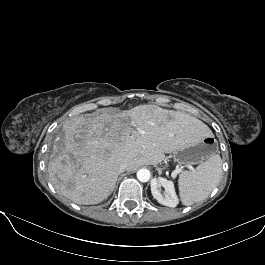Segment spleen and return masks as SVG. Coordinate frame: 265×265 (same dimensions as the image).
<instances>
[{
  "label": "spleen",
  "mask_w": 265,
  "mask_h": 265,
  "mask_svg": "<svg viewBox=\"0 0 265 265\" xmlns=\"http://www.w3.org/2000/svg\"><path fill=\"white\" fill-rule=\"evenodd\" d=\"M221 177L222 160L219 154L211 155L192 171H183L178 179L182 204L191 206L205 200L218 185Z\"/></svg>",
  "instance_id": "3e777b00"
}]
</instances>
